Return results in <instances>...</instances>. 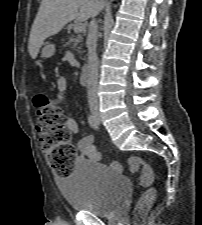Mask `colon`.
I'll list each match as a JSON object with an SVG mask.
<instances>
[{"label": "colon", "instance_id": "colon-1", "mask_svg": "<svg viewBox=\"0 0 202 225\" xmlns=\"http://www.w3.org/2000/svg\"><path fill=\"white\" fill-rule=\"evenodd\" d=\"M35 99L40 103L35 127L46 161L57 176H67L73 171L78 148L70 142L71 132L65 126V119L50 95L38 93ZM113 165L121 168L118 161H113ZM128 170L131 174L139 175L138 182L145 188L135 207V214L140 216L147 212L156 200L157 194L153 188L155 175L148 162L138 156L129 158Z\"/></svg>", "mask_w": 202, "mask_h": 225}]
</instances>
